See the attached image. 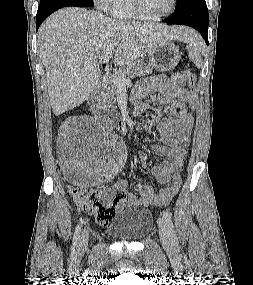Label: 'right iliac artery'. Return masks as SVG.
<instances>
[{"label":"right iliac artery","instance_id":"right-iliac-artery-1","mask_svg":"<svg viewBox=\"0 0 253 285\" xmlns=\"http://www.w3.org/2000/svg\"><path fill=\"white\" fill-rule=\"evenodd\" d=\"M80 233H81V225L79 224L77 225L74 236H73V248L74 249L78 247L79 240H80Z\"/></svg>","mask_w":253,"mask_h":285}]
</instances>
